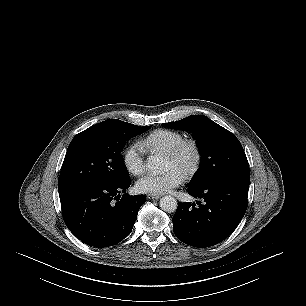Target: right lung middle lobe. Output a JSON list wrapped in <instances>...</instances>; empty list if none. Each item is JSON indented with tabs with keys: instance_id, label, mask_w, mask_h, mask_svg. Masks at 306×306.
Segmentation results:
<instances>
[{
	"instance_id": "1",
	"label": "right lung middle lobe",
	"mask_w": 306,
	"mask_h": 306,
	"mask_svg": "<svg viewBox=\"0 0 306 306\" xmlns=\"http://www.w3.org/2000/svg\"><path fill=\"white\" fill-rule=\"evenodd\" d=\"M150 128L110 119L77 134L62 164L59 193L87 182L121 183L129 179L120 153L126 141Z\"/></svg>"
}]
</instances>
